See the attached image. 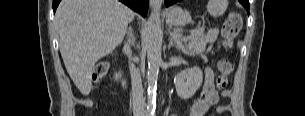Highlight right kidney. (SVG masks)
<instances>
[{"label": "right kidney", "mask_w": 305, "mask_h": 116, "mask_svg": "<svg viewBox=\"0 0 305 116\" xmlns=\"http://www.w3.org/2000/svg\"><path fill=\"white\" fill-rule=\"evenodd\" d=\"M115 80H119V74L115 73Z\"/></svg>", "instance_id": "right-kidney-1"}]
</instances>
